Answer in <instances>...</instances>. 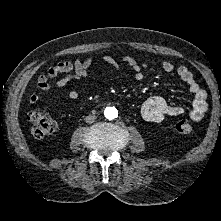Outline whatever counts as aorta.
<instances>
[{
    "label": "aorta",
    "instance_id": "obj_1",
    "mask_svg": "<svg viewBox=\"0 0 221 221\" xmlns=\"http://www.w3.org/2000/svg\"><path fill=\"white\" fill-rule=\"evenodd\" d=\"M104 116L108 120H113L118 117V110L115 107H106L104 110Z\"/></svg>",
    "mask_w": 221,
    "mask_h": 221
}]
</instances>
